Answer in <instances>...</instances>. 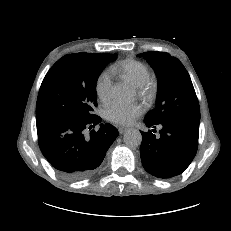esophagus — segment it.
<instances>
[{
	"label": "esophagus",
	"mask_w": 231,
	"mask_h": 231,
	"mask_svg": "<svg viewBox=\"0 0 231 231\" xmlns=\"http://www.w3.org/2000/svg\"><path fill=\"white\" fill-rule=\"evenodd\" d=\"M127 130H128V128H126V127H119L118 128V131L120 134H124Z\"/></svg>",
	"instance_id": "esophagus-1"
}]
</instances>
